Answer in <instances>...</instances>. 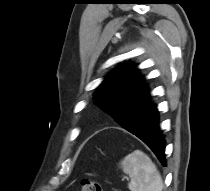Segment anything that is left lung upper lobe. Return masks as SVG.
I'll use <instances>...</instances> for the list:
<instances>
[{
	"label": "left lung upper lobe",
	"instance_id": "1",
	"mask_svg": "<svg viewBox=\"0 0 210 191\" xmlns=\"http://www.w3.org/2000/svg\"><path fill=\"white\" fill-rule=\"evenodd\" d=\"M139 72L133 64L121 65L106 76L93 96L99 107L130 132L136 127L135 120L127 121L130 109L150 96L145 78Z\"/></svg>",
	"mask_w": 210,
	"mask_h": 191
}]
</instances>
